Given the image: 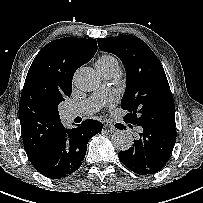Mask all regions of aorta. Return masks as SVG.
I'll return each mask as SVG.
<instances>
[{"mask_svg": "<svg viewBox=\"0 0 203 203\" xmlns=\"http://www.w3.org/2000/svg\"><path fill=\"white\" fill-rule=\"evenodd\" d=\"M73 84L80 91H93L99 85V77L92 68L83 67L76 71L73 77ZM112 143L116 149L125 151L133 145V137L126 130H117L112 135Z\"/></svg>", "mask_w": 203, "mask_h": 203, "instance_id": "762f6f07", "label": "aorta"}]
</instances>
